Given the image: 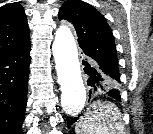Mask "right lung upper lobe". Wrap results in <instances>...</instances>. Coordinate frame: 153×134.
I'll list each match as a JSON object with an SVG mask.
<instances>
[{
    "instance_id": "cb5924a9",
    "label": "right lung upper lobe",
    "mask_w": 153,
    "mask_h": 134,
    "mask_svg": "<svg viewBox=\"0 0 153 134\" xmlns=\"http://www.w3.org/2000/svg\"><path fill=\"white\" fill-rule=\"evenodd\" d=\"M24 8L18 2L0 7V56L30 44Z\"/></svg>"
}]
</instances>
